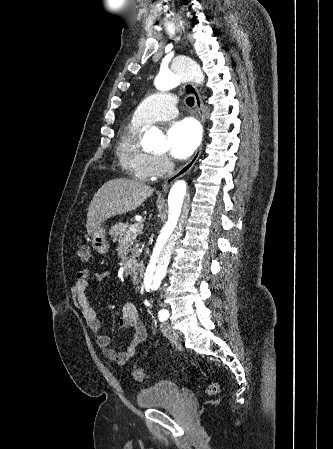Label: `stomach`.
Instances as JSON below:
<instances>
[{
	"label": "stomach",
	"instance_id": "0dacf381",
	"mask_svg": "<svg viewBox=\"0 0 333 449\" xmlns=\"http://www.w3.org/2000/svg\"><path fill=\"white\" fill-rule=\"evenodd\" d=\"M105 229L99 226L92 234L93 248L100 254H105L108 251L109 244L105 239Z\"/></svg>",
	"mask_w": 333,
	"mask_h": 449
}]
</instances>
